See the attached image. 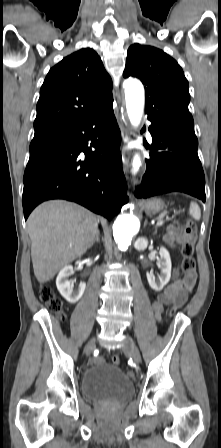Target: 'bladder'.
Returning a JSON list of instances; mask_svg holds the SVG:
<instances>
[{"instance_id":"31cf9c89","label":"bladder","mask_w":221,"mask_h":448,"mask_svg":"<svg viewBox=\"0 0 221 448\" xmlns=\"http://www.w3.org/2000/svg\"><path fill=\"white\" fill-rule=\"evenodd\" d=\"M81 390L92 401L120 403L133 396L134 383L118 366L104 363L82 375Z\"/></svg>"}]
</instances>
